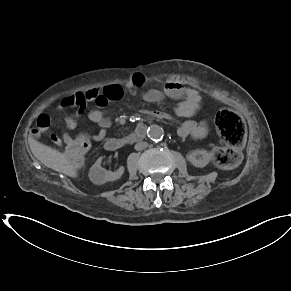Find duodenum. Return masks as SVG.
<instances>
[{
    "instance_id": "obj_1",
    "label": "duodenum",
    "mask_w": 291,
    "mask_h": 291,
    "mask_svg": "<svg viewBox=\"0 0 291 291\" xmlns=\"http://www.w3.org/2000/svg\"><path fill=\"white\" fill-rule=\"evenodd\" d=\"M147 126L145 123H140L135 130L127 136L121 138H109L105 141L104 147L108 151L119 150L126 145L135 143L141 140L146 134Z\"/></svg>"
}]
</instances>
